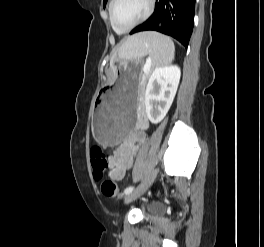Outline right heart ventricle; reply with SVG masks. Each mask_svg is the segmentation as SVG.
<instances>
[{"label":"right heart ventricle","instance_id":"e07e8e85","mask_svg":"<svg viewBox=\"0 0 264 247\" xmlns=\"http://www.w3.org/2000/svg\"><path fill=\"white\" fill-rule=\"evenodd\" d=\"M110 5H111V3L109 4V8H110ZM113 27V26H112ZM113 29L115 30V28L113 27ZM117 31V30H116Z\"/></svg>","mask_w":264,"mask_h":247}]
</instances>
